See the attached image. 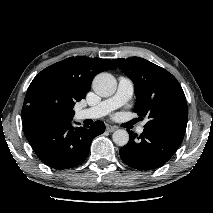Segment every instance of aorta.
<instances>
[{"mask_svg":"<svg viewBox=\"0 0 213 213\" xmlns=\"http://www.w3.org/2000/svg\"><path fill=\"white\" fill-rule=\"evenodd\" d=\"M93 90L102 97H109L116 91V79L109 73H100L92 83ZM113 142L118 146H125L129 141V134L124 129L116 130L112 135Z\"/></svg>","mask_w":213,"mask_h":213,"instance_id":"1","label":"aorta"}]
</instances>
